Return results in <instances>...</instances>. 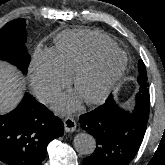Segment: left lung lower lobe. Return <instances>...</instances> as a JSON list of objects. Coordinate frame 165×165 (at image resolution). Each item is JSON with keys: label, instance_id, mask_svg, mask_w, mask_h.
I'll return each instance as SVG.
<instances>
[{"label": "left lung lower lobe", "instance_id": "1", "mask_svg": "<svg viewBox=\"0 0 165 165\" xmlns=\"http://www.w3.org/2000/svg\"><path fill=\"white\" fill-rule=\"evenodd\" d=\"M149 110L129 112L108 103L83 114L81 127L92 134L97 147L82 165H128L135 157L146 131Z\"/></svg>", "mask_w": 165, "mask_h": 165}]
</instances>
